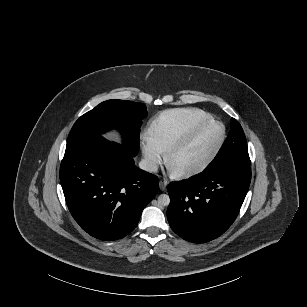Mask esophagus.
<instances>
[{
  "instance_id": "1",
  "label": "esophagus",
  "mask_w": 307,
  "mask_h": 307,
  "mask_svg": "<svg viewBox=\"0 0 307 307\" xmlns=\"http://www.w3.org/2000/svg\"><path fill=\"white\" fill-rule=\"evenodd\" d=\"M167 181L166 179H161L159 182V188L161 191H166Z\"/></svg>"
}]
</instances>
